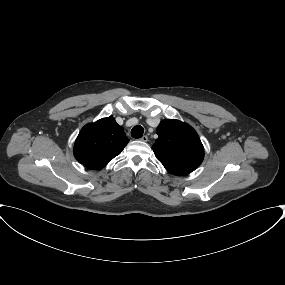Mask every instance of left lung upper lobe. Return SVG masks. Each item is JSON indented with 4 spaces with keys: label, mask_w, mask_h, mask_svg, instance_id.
<instances>
[{
    "label": "left lung upper lobe",
    "mask_w": 285,
    "mask_h": 285,
    "mask_svg": "<svg viewBox=\"0 0 285 285\" xmlns=\"http://www.w3.org/2000/svg\"><path fill=\"white\" fill-rule=\"evenodd\" d=\"M152 149L171 174L182 176L194 171L203 161L204 148L195 130L179 120H163Z\"/></svg>",
    "instance_id": "5c2ea615"
}]
</instances>
